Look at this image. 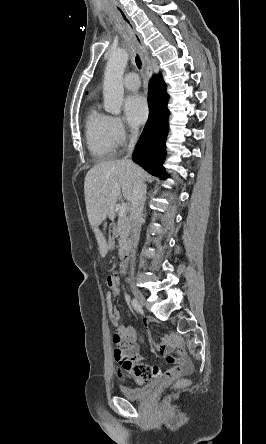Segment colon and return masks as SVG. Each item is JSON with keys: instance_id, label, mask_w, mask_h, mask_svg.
I'll list each match as a JSON object with an SVG mask.
<instances>
[{"instance_id": "5ec220e1", "label": "colon", "mask_w": 266, "mask_h": 444, "mask_svg": "<svg viewBox=\"0 0 266 444\" xmlns=\"http://www.w3.org/2000/svg\"><path fill=\"white\" fill-rule=\"evenodd\" d=\"M116 294V290L112 289V292L109 293L106 297V308H107V312L109 317H114L119 311L117 310L115 303H114V296ZM188 380L187 379H181L177 382L176 387L178 388H183L186 387L188 385Z\"/></svg>"}]
</instances>
